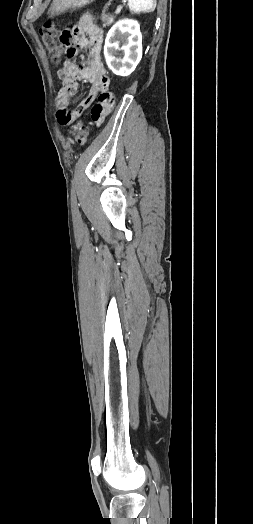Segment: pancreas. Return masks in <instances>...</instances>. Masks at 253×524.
<instances>
[{"label": "pancreas", "instance_id": "cf45deb5", "mask_svg": "<svg viewBox=\"0 0 253 524\" xmlns=\"http://www.w3.org/2000/svg\"><path fill=\"white\" fill-rule=\"evenodd\" d=\"M101 20L103 22V27H106V26H109V25H111L113 23L114 18H113V16H109V15L103 13L102 16H101Z\"/></svg>", "mask_w": 253, "mask_h": 524}]
</instances>
